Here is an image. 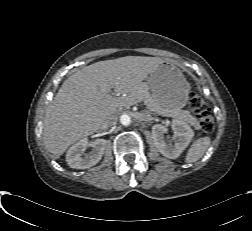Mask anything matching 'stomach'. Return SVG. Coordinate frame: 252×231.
I'll use <instances>...</instances> for the list:
<instances>
[{"label":"stomach","instance_id":"0dacf381","mask_svg":"<svg viewBox=\"0 0 252 231\" xmlns=\"http://www.w3.org/2000/svg\"><path fill=\"white\" fill-rule=\"evenodd\" d=\"M147 85L163 109H180L187 104L190 84L181 70L168 62H162L149 75Z\"/></svg>","mask_w":252,"mask_h":231}]
</instances>
